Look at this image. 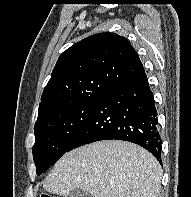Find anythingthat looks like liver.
<instances>
[{"label": "liver", "mask_w": 191, "mask_h": 197, "mask_svg": "<svg viewBox=\"0 0 191 197\" xmlns=\"http://www.w3.org/2000/svg\"><path fill=\"white\" fill-rule=\"evenodd\" d=\"M161 178L150 152L131 142L104 140L64 154L43 187L61 196L78 188L91 197H158Z\"/></svg>", "instance_id": "obj_1"}]
</instances>
